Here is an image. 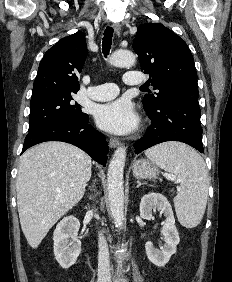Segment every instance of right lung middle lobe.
Listing matches in <instances>:
<instances>
[{"mask_svg":"<svg viewBox=\"0 0 232 282\" xmlns=\"http://www.w3.org/2000/svg\"><path fill=\"white\" fill-rule=\"evenodd\" d=\"M77 91L44 89L33 91L30 101L29 131L60 119H83L87 114L73 100Z\"/></svg>","mask_w":232,"mask_h":282,"instance_id":"1","label":"right lung middle lobe"}]
</instances>
